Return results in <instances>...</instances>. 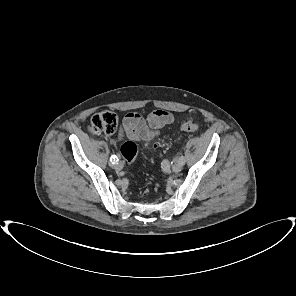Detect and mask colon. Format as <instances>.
<instances>
[{
	"mask_svg": "<svg viewBox=\"0 0 296 296\" xmlns=\"http://www.w3.org/2000/svg\"><path fill=\"white\" fill-rule=\"evenodd\" d=\"M118 120L116 114L112 112H100L92 116L89 131L93 135L112 134L117 128ZM199 125L195 121H186L180 125V129L186 132H196ZM138 148L135 142L126 141L121 147V155L129 162L133 163L137 157Z\"/></svg>",
	"mask_w": 296,
	"mask_h": 296,
	"instance_id": "5ec220e1",
	"label": "colon"
}]
</instances>
